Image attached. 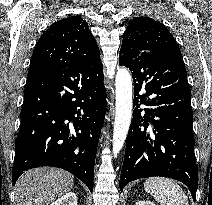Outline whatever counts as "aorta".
<instances>
[{
    "instance_id": "762f6f07",
    "label": "aorta",
    "mask_w": 212,
    "mask_h": 205,
    "mask_svg": "<svg viewBox=\"0 0 212 205\" xmlns=\"http://www.w3.org/2000/svg\"><path fill=\"white\" fill-rule=\"evenodd\" d=\"M115 86L116 113L112 139L114 157H116L123 148L132 118V77L126 68L118 69Z\"/></svg>"
}]
</instances>
